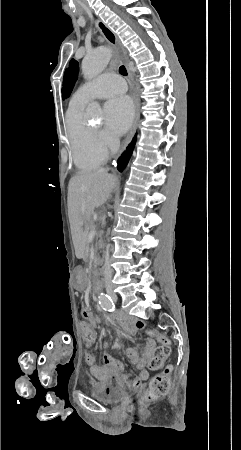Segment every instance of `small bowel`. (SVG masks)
<instances>
[{"label": "small bowel", "instance_id": "1", "mask_svg": "<svg viewBox=\"0 0 241 450\" xmlns=\"http://www.w3.org/2000/svg\"><path fill=\"white\" fill-rule=\"evenodd\" d=\"M81 313L86 321L83 325L93 324L95 326L96 318L90 310L84 308ZM122 330L123 334L128 336H132L138 331H146L152 333L159 342H168V339L160 333L151 331L147 324L142 320H135L132 323H124ZM82 333L84 332L82 331ZM93 333H96V331ZM155 350L156 342L152 337L145 339L140 354L133 347L126 348L125 355L130 363L135 365L138 370V375L136 377H132L131 375L124 373L123 364L120 361L115 360L106 352L102 355V365H98L96 363L95 356H84V359L90 374L96 379L104 383L112 382L114 384L124 385L131 389H136L149 378V371L146 367L154 355Z\"/></svg>", "mask_w": 241, "mask_h": 450}]
</instances>
